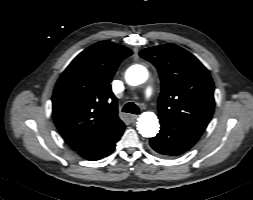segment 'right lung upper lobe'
Segmentation results:
<instances>
[{"instance_id": "right-lung-upper-lobe-1", "label": "right lung upper lobe", "mask_w": 253, "mask_h": 200, "mask_svg": "<svg viewBox=\"0 0 253 200\" xmlns=\"http://www.w3.org/2000/svg\"><path fill=\"white\" fill-rule=\"evenodd\" d=\"M131 54L122 45L101 41L81 52L60 76L52 97L53 119L74 150L95 145L124 125L110 82Z\"/></svg>"}]
</instances>
